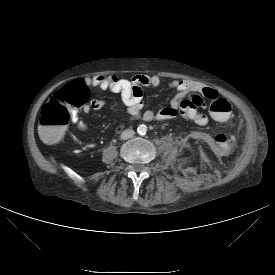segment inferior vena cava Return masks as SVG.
<instances>
[{"label": "inferior vena cava", "mask_w": 275, "mask_h": 275, "mask_svg": "<svg viewBox=\"0 0 275 275\" xmlns=\"http://www.w3.org/2000/svg\"><path fill=\"white\" fill-rule=\"evenodd\" d=\"M134 134H135L134 130L127 129V130H125V131L122 132L121 139L122 140H127V139L133 137Z\"/></svg>", "instance_id": "obj_1"}]
</instances>
